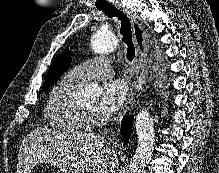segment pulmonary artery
<instances>
[{
	"label": "pulmonary artery",
	"instance_id": "1",
	"mask_svg": "<svg viewBox=\"0 0 219 173\" xmlns=\"http://www.w3.org/2000/svg\"><path fill=\"white\" fill-rule=\"evenodd\" d=\"M111 73L112 67L110 60L101 56H95L70 69L67 72L66 77L69 80L82 85L90 79L108 77Z\"/></svg>",
	"mask_w": 219,
	"mask_h": 173
}]
</instances>
